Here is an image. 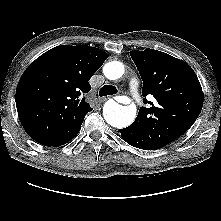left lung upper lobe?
<instances>
[{"label":"left lung upper lobe","instance_id":"obj_1","mask_svg":"<svg viewBox=\"0 0 221 221\" xmlns=\"http://www.w3.org/2000/svg\"><path fill=\"white\" fill-rule=\"evenodd\" d=\"M143 80L142 95L150 108L139 109L129 126L134 146L144 150L164 147L185 133L199 116L203 92L193 69L184 61L153 49L130 52ZM153 95L155 105L146 100Z\"/></svg>","mask_w":221,"mask_h":221}]
</instances>
